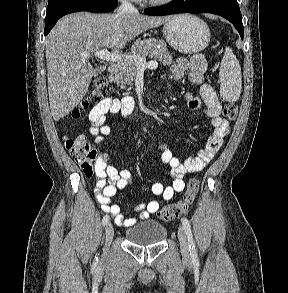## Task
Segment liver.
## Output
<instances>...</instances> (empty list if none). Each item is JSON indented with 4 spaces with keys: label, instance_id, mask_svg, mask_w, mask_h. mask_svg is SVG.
Returning a JSON list of instances; mask_svg holds the SVG:
<instances>
[{
    "label": "liver",
    "instance_id": "1",
    "mask_svg": "<svg viewBox=\"0 0 288 293\" xmlns=\"http://www.w3.org/2000/svg\"><path fill=\"white\" fill-rule=\"evenodd\" d=\"M170 17L138 12L92 14L78 12L62 17L45 40L50 109L59 121L88 91L94 69L92 54L102 48L123 49L135 37L165 23ZM88 53V57H82Z\"/></svg>",
    "mask_w": 288,
    "mask_h": 293
}]
</instances>
